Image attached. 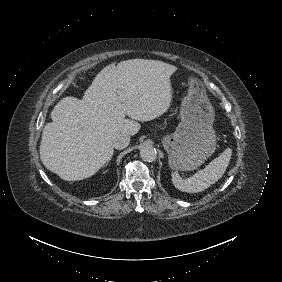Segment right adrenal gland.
I'll use <instances>...</instances> for the list:
<instances>
[{
  "label": "right adrenal gland",
  "instance_id": "obj_1",
  "mask_svg": "<svg viewBox=\"0 0 282 282\" xmlns=\"http://www.w3.org/2000/svg\"><path fill=\"white\" fill-rule=\"evenodd\" d=\"M112 157H113V156H111V157L109 158V160L107 161V163L105 164V166H107V165L110 163V160L112 159Z\"/></svg>",
  "mask_w": 282,
  "mask_h": 282
}]
</instances>
